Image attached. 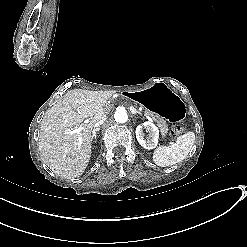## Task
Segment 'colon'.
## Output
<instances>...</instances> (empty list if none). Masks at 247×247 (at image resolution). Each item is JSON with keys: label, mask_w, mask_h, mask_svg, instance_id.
Wrapping results in <instances>:
<instances>
[{"label": "colon", "mask_w": 247, "mask_h": 247, "mask_svg": "<svg viewBox=\"0 0 247 247\" xmlns=\"http://www.w3.org/2000/svg\"><path fill=\"white\" fill-rule=\"evenodd\" d=\"M181 131H182V128H181L180 125H174L172 127V129L170 130V135L172 137H176V136H178L181 133Z\"/></svg>", "instance_id": "colon-1"}]
</instances>
